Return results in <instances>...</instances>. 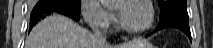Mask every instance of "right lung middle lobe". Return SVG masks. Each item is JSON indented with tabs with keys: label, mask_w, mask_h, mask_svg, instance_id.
Masks as SVG:
<instances>
[{
	"label": "right lung middle lobe",
	"mask_w": 213,
	"mask_h": 48,
	"mask_svg": "<svg viewBox=\"0 0 213 48\" xmlns=\"http://www.w3.org/2000/svg\"><path fill=\"white\" fill-rule=\"evenodd\" d=\"M69 3L77 6V7H81V0H67Z\"/></svg>",
	"instance_id": "right-lung-middle-lobe-1"
}]
</instances>
